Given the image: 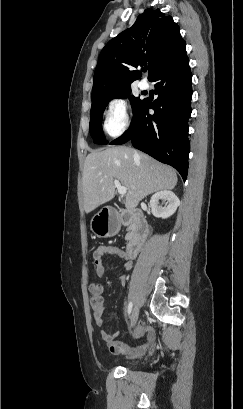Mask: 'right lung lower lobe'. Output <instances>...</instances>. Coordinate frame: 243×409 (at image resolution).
Wrapping results in <instances>:
<instances>
[{
	"label": "right lung lower lobe",
	"instance_id": "1",
	"mask_svg": "<svg viewBox=\"0 0 243 409\" xmlns=\"http://www.w3.org/2000/svg\"><path fill=\"white\" fill-rule=\"evenodd\" d=\"M191 79L185 45L150 80L156 83L158 98L153 103L142 100L129 129L110 144L130 140L135 148L174 167L185 181L190 151ZM149 109L154 110L153 115H149Z\"/></svg>",
	"mask_w": 243,
	"mask_h": 409
}]
</instances>
